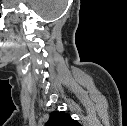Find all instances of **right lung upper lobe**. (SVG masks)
Instances as JSON below:
<instances>
[{
  "label": "right lung upper lobe",
  "mask_w": 127,
  "mask_h": 126,
  "mask_svg": "<svg viewBox=\"0 0 127 126\" xmlns=\"http://www.w3.org/2000/svg\"><path fill=\"white\" fill-rule=\"evenodd\" d=\"M45 126H81L64 111H54Z\"/></svg>",
  "instance_id": "obj_1"
}]
</instances>
